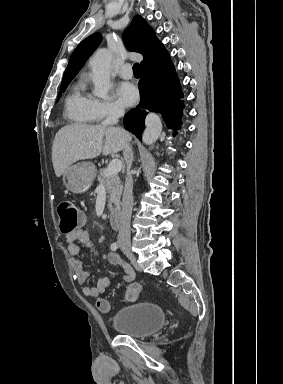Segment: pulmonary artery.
Instances as JSON below:
<instances>
[{"label": "pulmonary artery", "instance_id": "obj_1", "mask_svg": "<svg viewBox=\"0 0 283 384\" xmlns=\"http://www.w3.org/2000/svg\"><path fill=\"white\" fill-rule=\"evenodd\" d=\"M118 75L123 78V79H130L133 75L132 72V67L130 64H125L123 65L119 70H118Z\"/></svg>", "mask_w": 283, "mask_h": 384}]
</instances>
